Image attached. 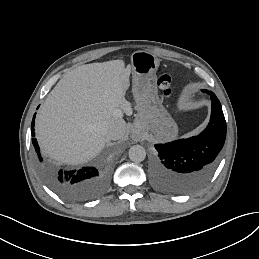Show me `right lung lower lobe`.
<instances>
[{
    "mask_svg": "<svg viewBox=\"0 0 259 259\" xmlns=\"http://www.w3.org/2000/svg\"><path fill=\"white\" fill-rule=\"evenodd\" d=\"M32 120V136L34 133V119ZM32 143L39 160V169L49 185L61 196L71 201H85L101 195L108 184L109 172L104 167H83L81 169H56L47 165L41 156L36 138Z\"/></svg>",
    "mask_w": 259,
    "mask_h": 259,
    "instance_id": "98d812e1",
    "label": "right lung lower lobe"
}]
</instances>
